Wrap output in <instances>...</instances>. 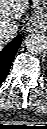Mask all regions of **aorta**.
Masks as SVG:
<instances>
[{"mask_svg": "<svg viewBox=\"0 0 47 129\" xmlns=\"http://www.w3.org/2000/svg\"><path fill=\"white\" fill-rule=\"evenodd\" d=\"M26 49L34 54H40L47 49V39L43 34L32 33L25 39Z\"/></svg>", "mask_w": 47, "mask_h": 129, "instance_id": "obj_1", "label": "aorta"}]
</instances>
